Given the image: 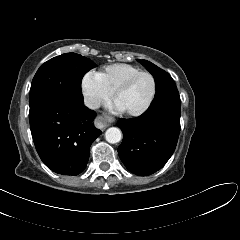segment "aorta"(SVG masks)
Instances as JSON below:
<instances>
[{"mask_svg":"<svg viewBox=\"0 0 240 240\" xmlns=\"http://www.w3.org/2000/svg\"><path fill=\"white\" fill-rule=\"evenodd\" d=\"M105 138L111 144L118 143L122 138V133L119 128L111 127L106 130Z\"/></svg>","mask_w":240,"mask_h":240,"instance_id":"obj_1","label":"aorta"}]
</instances>
